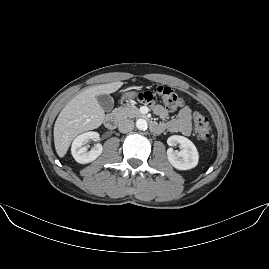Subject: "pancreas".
<instances>
[{"mask_svg": "<svg viewBox=\"0 0 269 269\" xmlns=\"http://www.w3.org/2000/svg\"><path fill=\"white\" fill-rule=\"evenodd\" d=\"M113 115L118 120H124L126 118L141 117L142 113L135 106H121L113 111Z\"/></svg>", "mask_w": 269, "mask_h": 269, "instance_id": "cf45deb5", "label": "pancreas"}]
</instances>
